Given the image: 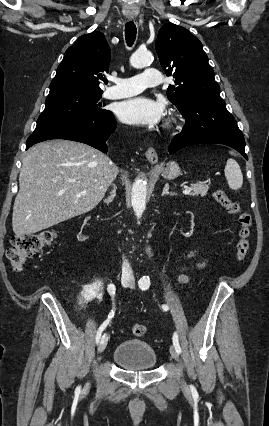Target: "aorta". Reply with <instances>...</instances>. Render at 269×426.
<instances>
[{
  "label": "aorta",
  "mask_w": 269,
  "mask_h": 426,
  "mask_svg": "<svg viewBox=\"0 0 269 426\" xmlns=\"http://www.w3.org/2000/svg\"><path fill=\"white\" fill-rule=\"evenodd\" d=\"M153 60L150 51H136L130 58V64L135 68H142ZM147 187L142 178H137L132 186L131 204L136 217L141 218L146 208Z\"/></svg>",
  "instance_id": "1"
}]
</instances>
